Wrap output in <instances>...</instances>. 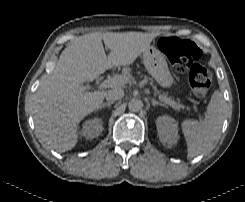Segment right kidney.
Segmentation results:
<instances>
[{"mask_svg": "<svg viewBox=\"0 0 245 202\" xmlns=\"http://www.w3.org/2000/svg\"><path fill=\"white\" fill-rule=\"evenodd\" d=\"M102 130V120L100 118H93L85 121L80 134L86 139H93L98 137Z\"/></svg>", "mask_w": 245, "mask_h": 202, "instance_id": "ca27d5eb", "label": "right kidney"}]
</instances>
